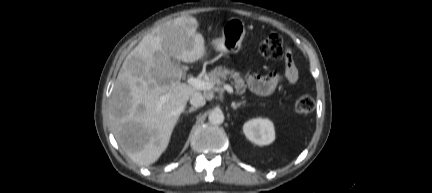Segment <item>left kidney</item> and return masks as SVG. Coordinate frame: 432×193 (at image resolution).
Segmentation results:
<instances>
[{"instance_id": "1", "label": "left kidney", "mask_w": 432, "mask_h": 193, "mask_svg": "<svg viewBox=\"0 0 432 193\" xmlns=\"http://www.w3.org/2000/svg\"><path fill=\"white\" fill-rule=\"evenodd\" d=\"M243 132L251 142L263 146L269 145L275 140L273 122L266 118H254L243 126Z\"/></svg>"}]
</instances>
